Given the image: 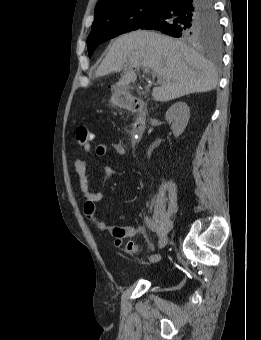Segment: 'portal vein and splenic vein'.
<instances>
[{"mask_svg":"<svg viewBox=\"0 0 261 340\" xmlns=\"http://www.w3.org/2000/svg\"><path fill=\"white\" fill-rule=\"evenodd\" d=\"M142 70H143V72H144L145 74H148V75H150V76H152V77H154V76L156 75V73H155L154 71H152L149 67L144 66V67L142 68Z\"/></svg>","mask_w":261,"mask_h":340,"instance_id":"portal-vein-and-splenic-vein-1","label":"portal vein and splenic vein"}]
</instances>
